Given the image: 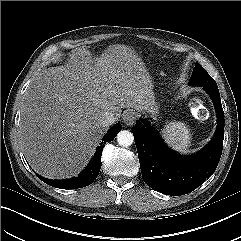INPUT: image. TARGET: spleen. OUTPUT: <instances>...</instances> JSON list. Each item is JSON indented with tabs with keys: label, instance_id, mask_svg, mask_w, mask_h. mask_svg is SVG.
<instances>
[{
	"label": "spleen",
	"instance_id": "obj_1",
	"mask_svg": "<svg viewBox=\"0 0 241 241\" xmlns=\"http://www.w3.org/2000/svg\"><path fill=\"white\" fill-rule=\"evenodd\" d=\"M162 138L173 150L181 153H189L191 134L189 128L182 122H170L162 129Z\"/></svg>",
	"mask_w": 241,
	"mask_h": 241
}]
</instances>
